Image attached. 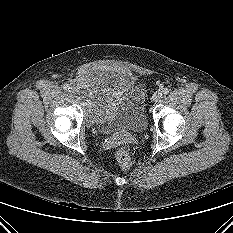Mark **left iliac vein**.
<instances>
[{
	"label": "left iliac vein",
	"instance_id": "1",
	"mask_svg": "<svg viewBox=\"0 0 233 233\" xmlns=\"http://www.w3.org/2000/svg\"><path fill=\"white\" fill-rule=\"evenodd\" d=\"M161 96H162V93L158 91L153 94L152 99L154 102H157L161 98Z\"/></svg>",
	"mask_w": 233,
	"mask_h": 233
}]
</instances>
